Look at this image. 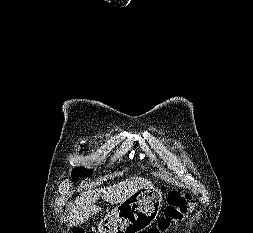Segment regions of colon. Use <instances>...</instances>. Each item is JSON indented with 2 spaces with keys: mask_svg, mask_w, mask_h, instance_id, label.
<instances>
[{
  "mask_svg": "<svg viewBox=\"0 0 253 233\" xmlns=\"http://www.w3.org/2000/svg\"><path fill=\"white\" fill-rule=\"evenodd\" d=\"M188 196H184L180 191L173 190L168 194V204L164 211V217L159 223L151 227L144 233H164L172 223L181 220L188 208ZM74 233H85L84 230L77 226L74 228Z\"/></svg>",
  "mask_w": 253,
  "mask_h": 233,
  "instance_id": "obj_1",
  "label": "colon"
}]
</instances>
